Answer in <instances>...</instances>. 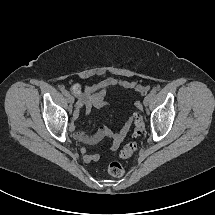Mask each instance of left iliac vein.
Returning <instances> with one entry per match:
<instances>
[{
	"instance_id": "1",
	"label": "left iliac vein",
	"mask_w": 215,
	"mask_h": 215,
	"mask_svg": "<svg viewBox=\"0 0 215 215\" xmlns=\"http://www.w3.org/2000/svg\"><path fill=\"white\" fill-rule=\"evenodd\" d=\"M150 102H151V96L147 95L143 100V104L144 106H148Z\"/></svg>"
}]
</instances>
